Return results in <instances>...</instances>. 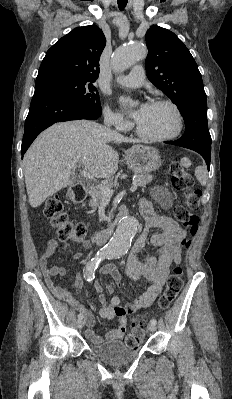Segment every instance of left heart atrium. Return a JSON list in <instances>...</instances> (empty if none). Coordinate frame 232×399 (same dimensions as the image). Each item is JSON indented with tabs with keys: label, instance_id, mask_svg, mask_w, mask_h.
I'll list each match as a JSON object with an SVG mask.
<instances>
[{
	"label": "left heart atrium",
	"instance_id": "1",
	"mask_svg": "<svg viewBox=\"0 0 232 399\" xmlns=\"http://www.w3.org/2000/svg\"><path fill=\"white\" fill-rule=\"evenodd\" d=\"M146 108H147V105H143V106H141L140 108H138L137 110L133 111V112L131 113L132 118H133L135 121L139 120V118H140V117L143 115V113L145 112Z\"/></svg>",
	"mask_w": 232,
	"mask_h": 399
}]
</instances>
